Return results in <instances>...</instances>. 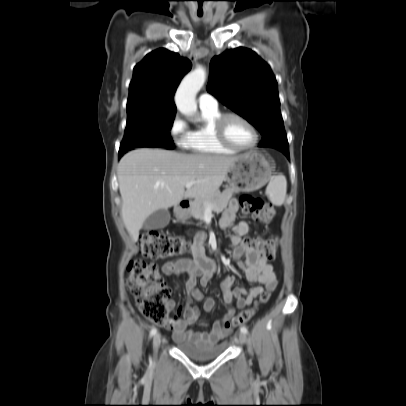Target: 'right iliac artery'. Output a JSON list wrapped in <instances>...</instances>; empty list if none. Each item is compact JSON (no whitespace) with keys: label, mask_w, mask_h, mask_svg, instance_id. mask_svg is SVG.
Wrapping results in <instances>:
<instances>
[{"label":"right iliac artery","mask_w":406,"mask_h":406,"mask_svg":"<svg viewBox=\"0 0 406 406\" xmlns=\"http://www.w3.org/2000/svg\"><path fill=\"white\" fill-rule=\"evenodd\" d=\"M157 333V328H152L150 331V337L154 336Z\"/></svg>","instance_id":"obj_1"}]
</instances>
